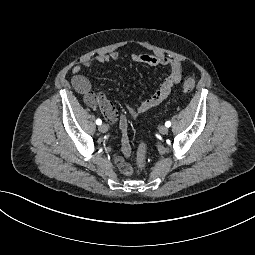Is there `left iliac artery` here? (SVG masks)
Here are the masks:
<instances>
[{
	"label": "left iliac artery",
	"instance_id": "obj_1",
	"mask_svg": "<svg viewBox=\"0 0 255 255\" xmlns=\"http://www.w3.org/2000/svg\"><path fill=\"white\" fill-rule=\"evenodd\" d=\"M165 126H166V127H170V126H171V122H170V121H167V122L165 123Z\"/></svg>",
	"mask_w": 255,
	"mask_h": 255
}]
</instances>
